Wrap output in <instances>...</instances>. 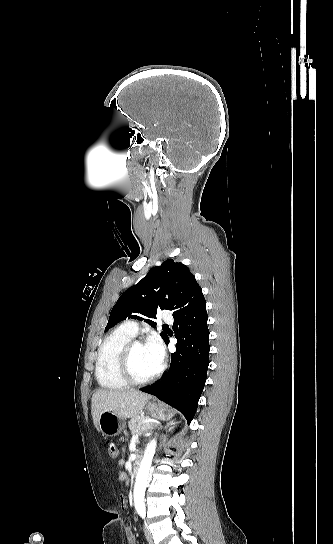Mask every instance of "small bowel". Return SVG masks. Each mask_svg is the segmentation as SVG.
<instances>
[{
    "label": "small bowel",
    "instance_id": "1",
    "mask_svg": "<svg viewBox=\"0 0 333 544\" xmlns=\"http://www.w3.org/2000/svg\"><path fill=\"white\" fill-rule=\"evenodd\" d=\"M122 463V461H121ZM118 478L121 482L123 483H127L128 482V478H127V475L123 472V471H120L119 474H118ZM120 504H121V508L122 509H125L126 506H127V500L125 497H120ZM126 536H127V542L128 544H136V538L132 532V530L130 528H127L126 530Z\"/></svg>",
    "mask_w": 333,
    "mask_h": 544
}]
</instances>
